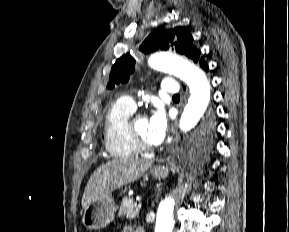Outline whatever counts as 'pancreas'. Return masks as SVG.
Returning <instances> with one entry per match:
<instances>
[{"label":"pancreas","mask_w":289,"mask_h":232,"mask_svg":"<svg viewBox=\"0 0 289 232\" xmlns=\"http://www.w3.org/2000/svg\"><path fill=\"white\" fill-rule=\"evenodd\" d=\"M141 205L134 202L132 197H124L122 199L118 215L126 217V219H134L138 217Z\"/></svg>","instance_id":"1"}]
</instances>
